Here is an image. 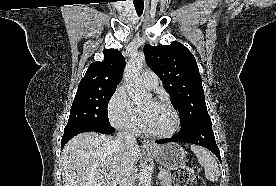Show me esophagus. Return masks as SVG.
<instances>
[{
  "label": "esophagus",
  "mask_w": 276,
  "mask_h": 186,
  "mask_svg": "<svg viewBox=\"0 0 276 186\" xmlns=\"http://www.w3.org/2000/svg\"><path fill=\"white\" fill-rule=\"evenodd\" d=\"M142 147L145 149H153L154 148V144L152 143V141L144 139L142 141Z\"/></svg>",
  "instance_id": "esophagus-1"
}]
</instances>
